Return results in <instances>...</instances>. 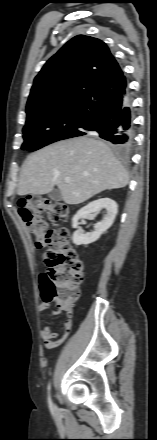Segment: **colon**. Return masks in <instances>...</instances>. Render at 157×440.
Masks as SVG:
<instances>
[{
  "mask_svg": "<svg viewBox=\"0 0 157 440\" xmlns=\"http://www.w3.org/2000/svg\"><path fill=\"white\" fill-rule=\"evenodd\" d=\"M43 211L55 222L66 217L68 208L62 203L33 197L20 205L19 214L34 236L36 247L48 246L43 256L48 269L40 277L41 296L55 306V314L64 313L70 317L83 282L82 264L69 244V232L64 228H50L41 215Z\"/></svg>",
  "mask_w": 157,
  "mask_h": 440,
  "instance_id": "5ec220e1",
  "label": "colon"
}]
</instances>
